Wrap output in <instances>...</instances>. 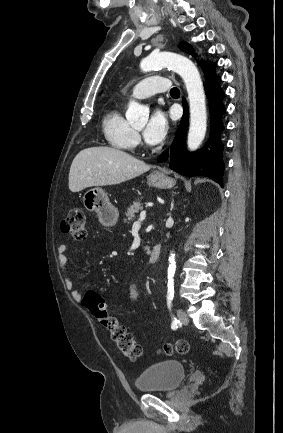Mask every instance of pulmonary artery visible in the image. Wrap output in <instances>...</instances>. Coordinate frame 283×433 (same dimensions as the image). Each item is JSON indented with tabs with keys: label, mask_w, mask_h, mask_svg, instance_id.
Listing matches in <instances>:
<instances>
[{
	"label": "pulmonary artery",
	"mask_w": 283,
	"mask_h": 433,
	"mask_svg": "<svg viewBox=\"0 0 283 433\" xmlns=\"http://www.w3.org/2000/svg\"><path fill=\"white\" fill-rule=\"evenodd\" d=\"M171 86L167 78H163L161 72H156L154 76L139 81L129 93V98H146L158 92H169Z\"/></svg>",
	"instance_id": "pulmonary-artery-1"
}]
</instances>
